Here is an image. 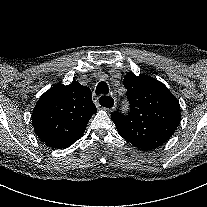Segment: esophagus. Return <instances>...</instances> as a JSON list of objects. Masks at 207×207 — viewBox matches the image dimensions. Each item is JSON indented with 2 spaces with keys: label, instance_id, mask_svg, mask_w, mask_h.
Wrapping results in <instances>:
<instances>
[{
  "label": "esophagus",
  "instance_id": "1",
  "mask_svg": "<svg viewBox=\"0 0 207 207\" xmlns=\"http://www.w3.org/2000/svg\"><path fill=\"white\" fill-rule=\"evenodd\" d=\"M95 105L99 106L101 104V106L108 111H112L116 108L117 103L114 99H112L109 96H105L101 99L100 104L98 103V98H95L94 100Z\"/></svg>",
  "mask_w": 207,
  "mask_h": 207
}]
</instances>
